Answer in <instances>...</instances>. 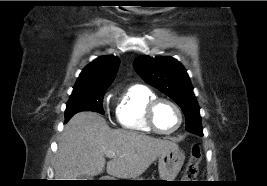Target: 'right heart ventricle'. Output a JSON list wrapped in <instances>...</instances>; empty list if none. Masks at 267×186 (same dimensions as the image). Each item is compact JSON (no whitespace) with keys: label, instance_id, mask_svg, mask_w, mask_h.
<instances>
[{"label":"right heart ventricle","instance_id":"right-heart-ventricle-1","mask_svg":"<svg viewBox=\"0 0 267 186\" xmlns=\"http://www.w3.org/2000/svg\"><path fill=\"white\" fill-rule=\"evenodd\" d=\"M157 97L146 86H131L120 98L116 107V120L125 131L150 134L153 131L145 121V108L150 100Z\"/></svg>","mask_w":267,"mask_h":186}]
</instances>
